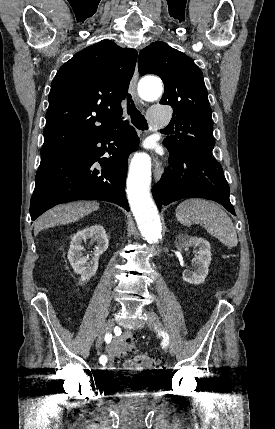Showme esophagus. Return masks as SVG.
Here are the masks:
<instances>
[{"label": "esophagus", "mask_w": 275, "mask_h": 429, "mask_svg": "<svg viewBox=\"0 0 275 429\" xmlns=\"http://www.w3.org/2000/svg\"><path fill=\"white\" fill-rule=\"evenodd\" d=\"M138 79H139V72H138V66L136 64L134 75H133L132 80L130 82V91H131V94H132L134 100L139 104V103H142V101L139 98L138 93H137V82H138ZM162 173H163L162 163L156 157L154 159V178H155L156 181L160 180V178L162 176Z\"/></svg>", "instance_id": "obj_1"}]
</instances>
